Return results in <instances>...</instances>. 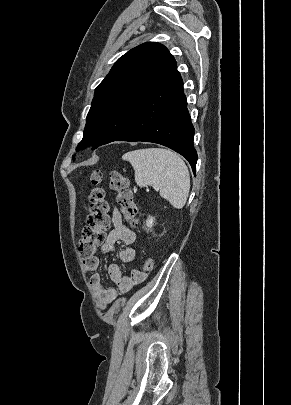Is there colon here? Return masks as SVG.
<instances>
[{"mask_svg":"<svg viewBox=\"0 0 291 405\" xmlns=\"http://www.w3.org/2000/svg\"><path fill=\"white\" fill-rule=\"evenodd\" d=\"M102 171H93L90 177L92 189L89 194V215L87 225L82 231L79 241V254L83 260L92 258L99 246L104 242L105 231L110 226V207L106 198L105 189L100 186ZM110 188L117 194V202L121 207L123 216L127 222L133 224L137 214V207L131 191L128 189V180L122 173L112 171L109 176ZM154 259L148 258L139 267L142 276L150 272L154 267Z\"/></svg>","mask_w":291,"mask_h":405,"instance_id":"colon-1","label":"colon"}]
</instances>
